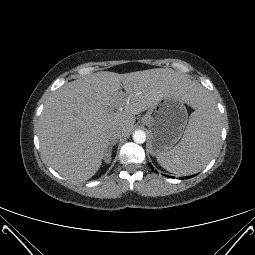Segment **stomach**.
<instances>
[{
  "instance_id": "stomach-1",
  "label": "stomach",
  "mask_w": 255,
  "mask_h": 255,
  "mask_svg": "<svg viewBox=\"0 0 255 255\" xmlns=\"http://www.w3.org/2000/svg\"><path fill=\"white\" fill-rule=\"evenodd\" d=\"M186 101L183 96L171 92L150 107L152 120L147 126L150 132L149 152L153 156L169 151L184 133L188 120Z\"/></svg>"
}]
</instances>
